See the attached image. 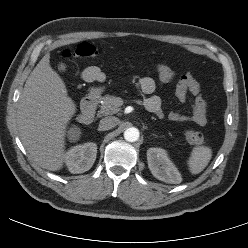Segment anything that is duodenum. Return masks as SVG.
Here are the masks:
<instances>
[{"mask_svg":"<svg viewBox=\"0 0 248 248\" xmlns=\"http://www.w3.org/2000/svg\"><path fill=\"white\" fill-rule=\"evenodd\" d=\"M99 102V94L95 91L90 92L82 101L78 121L82 124H89L94 120L95 111Z\"/></svg>","mask_w":248,"mask_h":248,"instance_id":"obj_1","label":"duodenum"}]
</instances>
